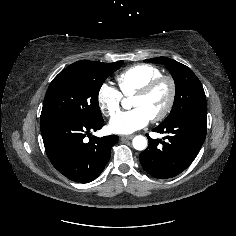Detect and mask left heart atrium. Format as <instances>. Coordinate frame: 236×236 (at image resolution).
I'll use <instances>...</instances> for the list:
<instances>
[{
	"label": "left heart atrium",
	"mask_w": 236,
	"mask_h": 236,
	"mask_svg": "<svg viewBox=\"0 0 236 236\" xmlns=\"http://www.w3.org/2000/svg\"><path fill=\"white\" fill-rule=\"evenodd\" d=\"M151 118L141 108L116 114L110 121V129L117 134H130L145 127Z\"/></svg>",
	"instance_id": "39dd6f15"
}]
</instances>
